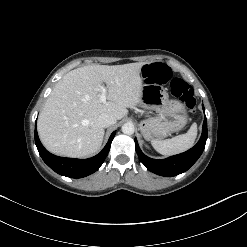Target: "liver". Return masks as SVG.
Masks as SVG:
<instances>
[{
    "mask_svg": "<svg viewBox=\"0 0 247 247\" xmlns=\"http://www.w3.org/2000/svg\"><path fill=\"white\" fill-rule=\"evenodd\" d=\"M145 63L88 65L68 72L55 86L38 118V134L51 153L74 158L95 154L104 129L98 122L103 113L116 120L128 108L141 103L140 70ZM108 101L100 102L102 84Z\"/></svg>",
    "mask_w": 247,
    "mask_h": 247,
    "instance_id": "liver-1",
    "label": "liver"
}]
</instances>
